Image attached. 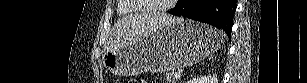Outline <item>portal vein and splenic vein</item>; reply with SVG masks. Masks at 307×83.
Instances as JSON below:
<instances>
[{
	"label": "portal vein and splenic vein",
	"instance_id": "portal-vein-and-splenic-vein-1",
	"mask_svg": "<svg viewBox=\"0 0 307 83\" xmlns=\"http://www.w3.org/2000/svg\"><path fill=\"white\" fill-rule=\"evenodd\" d=\"M180 76H181L180 73L175 74V77H176V78H180Z\"/></svg>",
	"mask_w": 307,
	"mask_h": 83
}]
</instances>
